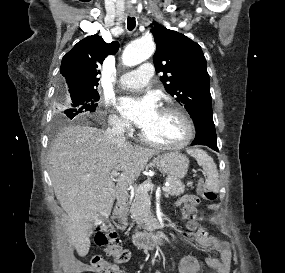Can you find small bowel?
Masks as SVG:
<instances>
[{
  "label": "small bowel",
  "instance_id": "c3829d8e",
  "mask_svg": "<svg viewBox=\"0 0 285 273\" xmlns=\"http://www.w3.org/2000/svg\"><path fill=\"white\" fill-rule=\"evenodd\" d=\"M191 201L194 205L197 206L200 203L198 197L193 195H186L179 199L175 206H183L184 203ZM186 211V210H184ZM203 232L195 233L196 243L202 249L211 250L216 253V257H209L206 260V263L215 270V273H229L230 271V262H231V251L227 242L219 240L216 236L209 233L205 228ZM203 264L202 262L193 256L183 257L179 263V273H202ZM154 273H160L155 271Z\"/></svg>",
  "mask_w": 285,
  "mask_h": 273
}]
</instances>
